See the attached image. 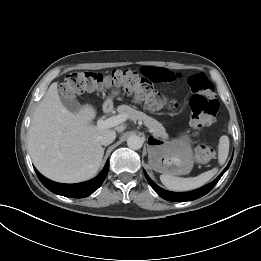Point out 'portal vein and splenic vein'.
<instances>
[{
	"label": "portal vein and splenic vein",
	"mask_w": 261,
	"mask_h": 261,
	"mask_svg": "<svg viewBox=\"0 0 261 261\" xmlns=\"http://www.w3.org/2000/svg\"><path fill=\"white\" fill-rule=\"evenodd\" d=\"M127 119H128L127 114H119V115L107 118L106 120L99 119L97 121L96 127L100 128V129L112 128V127H115V126L125 122Z\"/></svg>",
	"instance_id": "1"
}]
</instances>
